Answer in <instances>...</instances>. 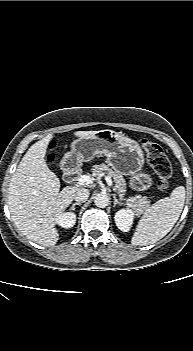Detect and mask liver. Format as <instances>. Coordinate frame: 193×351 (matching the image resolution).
<instances>
[{
	"instance_id": "obj_1",
	"label": "liver",
	"mask_w": 193,
	"mask_h": 351,
	"mask_svg": "<svg viewBox=\"0 0 193 351\" xmlns=\"http://www.w3.org/2000/svg\"><path fill=\"white\" fill-rule=\"evenodd\" d=\"M97 132L77 131L74 135L91 138ZM53 137L49 134L28 149L8 189V206L16 227L43 246H53L58 241L56 218L66 210L78 190L66 186L60 191V180L45 162L46 149Z\"/></svg>"
}]
</instances>
